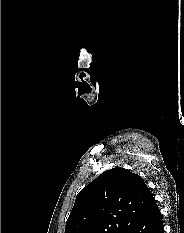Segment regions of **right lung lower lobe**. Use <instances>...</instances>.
<instances>
[{"mask_svg": "<svg viewBox=\"0 0 184 233\" xmlns=\"http://www.w3.org/2000/svg\"><path fill=\"white\" fill-rule=\"evenodd\" d=\"M127 233H164L159 207L155 206L151 212L130 228Z\"/></svg>", "mask_w": 184, "mask_h": 233, "instance_id": "98d812e1", "label": "right lung lower lobe"}]
</instances>
